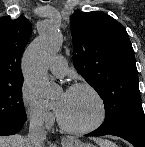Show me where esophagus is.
<instances>
[{
    "instance_id": "esophagus-1",
    "label": "esophagus",
    "mask_w": 145,
    "mask_h": 147,
    "mask_svg": "<svg viewBox=\"0 0 145 147\" xmlns=\"http://www.w3.org/2000/svg\"><path fill=\"white\" fill-rule=\"evenodd\" d=\"M61 141H62V142H67L68 139L63 137V138L61 139Z\"/></svg>"
}]
</instances>
